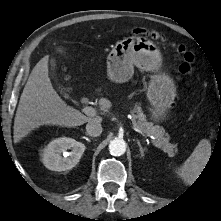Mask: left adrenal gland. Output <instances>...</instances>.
Returning <instances> with one entry per match:
<instances>
[{
    "instance_id": "obj_1",
    "label": "left adrenal gland",
    "mask_w": 221,
    "mask_h": 221,
    "mask_svg": "<svg viewBox=\"0 0 221 221\" xmlns=\"http://www.w3.org/2000/svg\"><path fill=\"white\" fill-rule=\"evenodd\" d=\"M137 144L139 146V150H140V154H141V157H144V152L146 151V149H144L140 143L139 140H137Z\"/></svg>"
}]
</instances>
